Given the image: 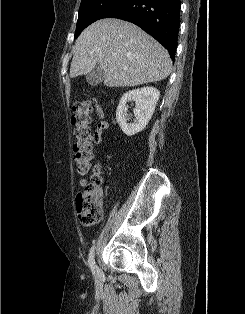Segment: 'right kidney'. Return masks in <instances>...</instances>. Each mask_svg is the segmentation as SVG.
<instances>
[{"label":"right kidney","instance_id":"right-kidney-1","mask_svg":"<svg viewBox=\"0 0 245 314\" xmlns=\"http://www.w3.org/2000/svg\"><path fill=\"white\" fill-rule=\"evenodd\" d=\"M160 92L154 87H143L125 93L119 102L116 110V120L127 136H133L142 131L151 119L156 104L159 100ZM129 101L135 102V120L127 123V106Z\"/></svg>","mask_w":245,"mask_h":314}]
</instances>
